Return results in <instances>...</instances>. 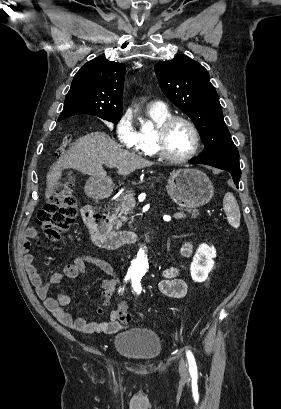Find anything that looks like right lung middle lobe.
<instances>
[{
	"mask_svg": "<svg viewBox=\"0 0 281 409\" xmlns=\"http://www.w3.org/2000/svg\"><path fill=\"white\" fill-rule=\"evenodd\" d=\"M98 117L113 123H118L119 120L121 119V116H98Z\"/></svg>",
	"mask_w": 281,
	"mask_h": 409,
	"instance_id": "dd1d6c3e",
	"label": "right lung middle lobe"
}]
</instances>
